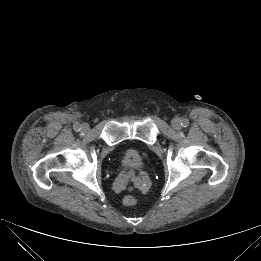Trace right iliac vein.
Listing matches in <instances>:
<instances>
[{"mask_svg":"<svg viewBox=\"0 0 261 261\" xmlns=\"http://www.w3.org/2000/svg\"><path fill=\"white\" fill-rule=\"evenodd\" d=\"M88 130H89V125L86 124V123H84V124L82 125V131L86 133V132H88Z\"/></svg>","mask_w":261,"mask_h":261,"instance_id":"63e3f726","label":"right iliac vein"}]
</instances>
